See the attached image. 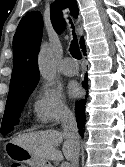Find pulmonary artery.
<instances>
[{"mask_svg":"<svg viewBox=\"0 0 125 167\" xmlns=\"http://www.w3.org/2000/svg\"><path fill=\"white\" fill-rule=\"evenodd\" d=\"M59 69L66 76H74L78 73V64L70 57H66L60 63Z\"/></svg>","mask_w":125,"mask_h":167,"instance_id":"e3ab8cb5","label":"pulmonary artery"}]
</instances>
